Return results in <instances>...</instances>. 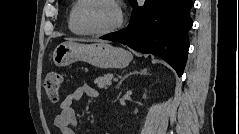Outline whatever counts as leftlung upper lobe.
<instances>
[{
	"label": "left lung upper lobe",
	"mask_w": 239,
	"mask_h": 134,
	"mask_svg": "<svg viewBox=\"0 0 239 134\" xmlns=\"http://www.w3.org/2000/svg\"><path fill=\"white\" fill-rule=\"evenodd\" d=\"M62 0H59L58 2H61ZM134 0H130V2L132 3Z\"/></svg>",
	"instance_id": "5c2ea615"
}]
</instances>
